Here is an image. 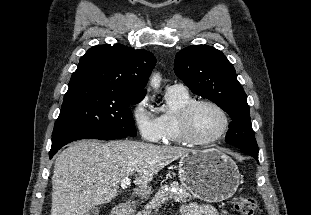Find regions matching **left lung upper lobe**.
I'll return each instance as SVG.
<instances>
[{"instance_id":"5c2ea615","label":"left lung upper lobe","mask_w":311,"mask_h":215,"mask_svg":"<svg viewBox=\"0 0 311 215\" xmlns=\"http://www.w3.org/2000/svg\"><path fill=\"white\" fill-rule=\"evenodd\" d=\"M175 74L197 95L207 98L229 114L225 141L241 150L258 154L246 94L236 71L225 55L209 45H192L180 50Z\"/></svg>"}]
</instances>
